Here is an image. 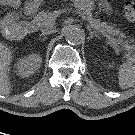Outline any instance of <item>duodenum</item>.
Masks as SVG:
<instances>
[{"label":"duodenum","instance_id":"duodenum-1","mask_svg":"<svg viewBox=\"0 0 135 135\" xmlns=\"http://www.w3.org/2000/svg\"><path fill=\"white\" fill-rule=\"evenodd\" d=\"M33 29V24L29 21H24L14 24L12 21H6L3 25L5 36L11 39H21L28 35Z\"/></svg>","mask_w":135,"mask_h":135}]
</instances>
